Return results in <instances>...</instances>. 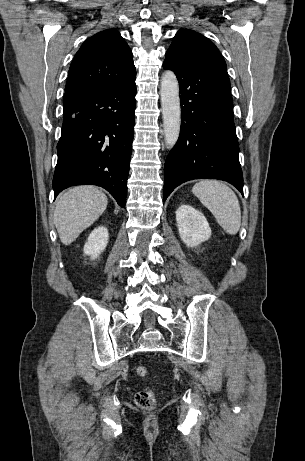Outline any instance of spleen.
Masks as SVG:
<instances>
[{
	"instance_id": "spleen-1",
	"label": "spleen",
	"mask_w": 305,
	"mask_h": 461,
	"mask_svg": "<svg viewBox=\"0 0 305 461\" xmlns=\"http://www.w3.org/2000/svg\"><path fill=\"white\" fill-rule=\"evenodd\" d=\"M192 192L225 232L237 234L241 225V209L236 194L229 186L218 180H202L193 186Z\"/></svg>"
}]
</instances>
